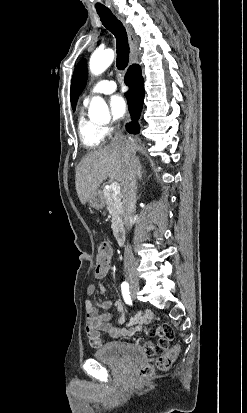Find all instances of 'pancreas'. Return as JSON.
Segmentation results:
<instances>
[{
	"instance_id": "pancreas-1",
	"label": "pancreas",
	"mask_w": 247,
	"mask_h": 413,
	"mask_svg": "<svg viewBox=\"0 0 247 413\" xmlns=\"http://www.w3.org/2000/svg\"><path fill=\"white\" fill-rule=\"evenodd\" d=\"M105 198H106V207L112 215V231L114 233H118L121 225H122V202H121V194H114L112 188H103L102 190Z\"/></svg>"
}]
</instances>
